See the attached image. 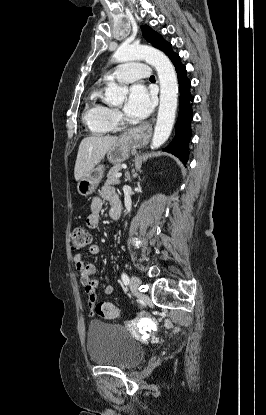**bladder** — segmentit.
<instances>
[{
    "mask_svg": "<svg viewBox=\"0 0 266 415\" xmlns=\"http://www.w3.org/2000/svg\"><path fill=\"white\" fill-rule=\"evenodd\" d=\"M87 352L93 364L132 369L145 356L143 346L122 326L92 321L87 333Z\"/></svg>",
    "mask_w": 266,
    "mask_h": 415,
    "instance_id": "bladder-1",
    "label": "bladder"
}]
</instances>
